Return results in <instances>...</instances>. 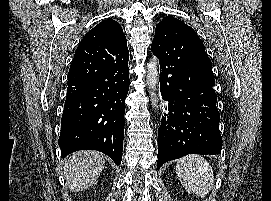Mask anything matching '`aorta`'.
Listing matches in <instances>:
<instances>
[{
    "label": "aorta",
    "instance_id": "762f6f07",
    "mask_svg": "<svg viewBox=\"0 0 271 201\" xmlns=\"http://www.w3.org/2000/svg\"><path fill=\"white\" fill-rule=\"evenodd\" d=\"M158 67L155 59L153 58L147 63V84L151 96L152 106L157 107L158 100L156 98L155 90L158 85Z\"/></svg>",
    "mask_w": 271,
    "mask_h": 201
}]
</instances>
